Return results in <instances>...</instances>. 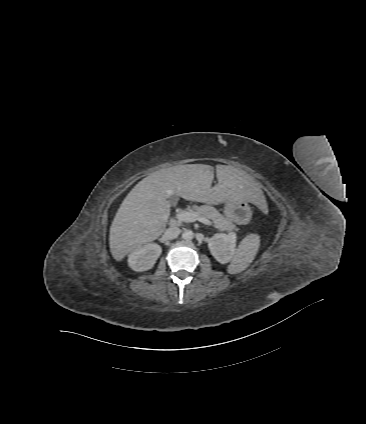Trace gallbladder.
<instances>
[{"instance_id":"obj_1","label":"gallbladder","mask_w":366,"mask_h":424,"mask_svg":"<svg viewBox=\"0 0 366 424\" xmlns=\"http://www.w3.org/2000/svg\"><path fill=\"white\" fill-rule=\"evenodd\" d=\"M169 201H170V203H171V204H175V203H176V201H177V197H176V196H171V197L169 198Z\"/></svg>"}]
</instances>
